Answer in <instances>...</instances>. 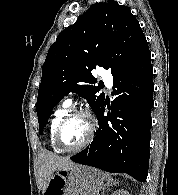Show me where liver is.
I'll return each mask as SVG.
<instances>
[{"label": "liver", "mask_w": 178, "mask_h": 195, "mask_svg": "<svg viewBox=\"0 0 178 195\" xmlns=\"http://www.w3.org/2000/svg\"><path fill=\"white\" fill-rule=\"evenodd\" d=\"M77 166L67 157H61L49 152H42L40 154V182L41 189L44 193L47 189L54 172L59 170H70Z\"/></svg>", "instance_id": "1"}]
</instances>
